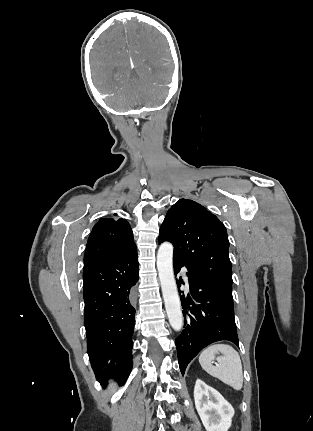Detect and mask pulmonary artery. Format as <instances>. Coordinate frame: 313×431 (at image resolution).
<instances>
[{
  "label": "pulmonary artery",
  "instance_id": "1",
  "mask_svg": "<svg viewBox=\"0 0 313 431\" xmlns=\"http://www.w3.org/2000/svg\"><path fill=\"white\" fill-rule=\"evenodd\" d=\"M182 273H183V278H184V280H185V283L188 285V277H187V274H186V270H185V269H183V270H182Z\"/></svg>",
  "mask_w": 313,
  "mask_h": 431
}]
</instances>
